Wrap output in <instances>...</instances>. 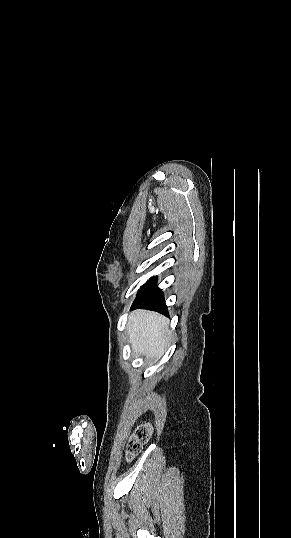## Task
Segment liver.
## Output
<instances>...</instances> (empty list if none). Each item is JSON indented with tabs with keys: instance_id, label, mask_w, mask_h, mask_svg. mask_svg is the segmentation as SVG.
<instances>
[{
	"instance_id": "obj_1",
	"label": "liver",
	"mask_w": 291,
	"mask_h": 538,
	"mask_svg": "<svg viewBox=\"0 0 291 538\" xmlns=\"http://www.w3.org/2000/svg\"><path fill=\"white\" fill-rule=\"evenodd\" d=\"M169 320L151 311L135 310L129 316L127 333L135 354L159 359L165 352L171 333Z\"/></svg>"
}]
</instances>
